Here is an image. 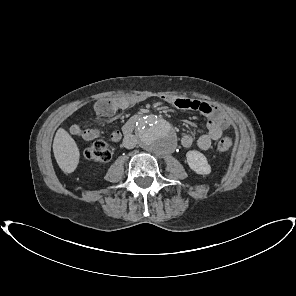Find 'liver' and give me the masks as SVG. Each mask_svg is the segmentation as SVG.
Segmentation results:
<instances>
[{"mask_svg": "<svg viewBox=\"0 0 296 296\" xmlns=\"http://www.w3.org/2000/svg\"><path fill=\"white\" fill-rule=\"evenodd\" d=\"M53 153L63 172L72 173L75 171L80 158L79 149L74 139L63 128H59L55 134Z\"/></svg>", "mask_w": 296, "mask_h": 296, "instance_id": "obj_1", "label": "liver"}]
</instances>
